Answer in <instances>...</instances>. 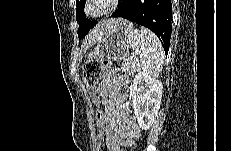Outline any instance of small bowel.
<instances>
[{
  "label": "small bowel",
  "instance_id": "c3829d8e",
  "mask_svg": "<svg viewBox=\"0 0 231 151\" xmlns=\"http://www.w3.org/2000/svg\"><path fill=\"white\" fill-rule=\"evenodd\" d=\"M119 79L114 72L104 74L97 94L104 106V118L110 129L109 144L112 151H120L123 144H132L140 135L139 128L129 119L124 97L117 91Z\"/></svg>",
  "mask_w": 231,
  "mask_h": 151
}]
</instances>
